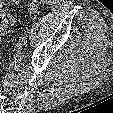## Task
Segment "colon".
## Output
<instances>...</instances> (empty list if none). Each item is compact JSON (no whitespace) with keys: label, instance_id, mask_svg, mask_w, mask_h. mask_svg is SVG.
<instances>
[{"label":"colon","instance_id":"5ec220e1","mask_svg":"<svg viewBox=\"0 0 113 113\" xmlns=\"http://www.w3.org/2000/svg\"><path fill=\"white\" fill-rule=\"evenodd\" d=\"M10 1H18V0H10ZM43 3V0H30L29 1V11L31 14L35 15L37 14L39 7ZM4 26L3 20L0 23V27Z\"/></svg>","mask_w":113,"mask_h":113}]
</instances>
